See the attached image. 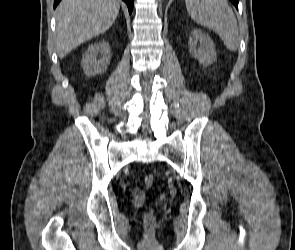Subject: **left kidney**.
Instances as JSON below:
<instances>
[{
	"label": "left kidney",
	"instance_id": "5707ae66",
	"mask_svg": "<svg viewBox=\"0 0 295 250\" xmlns=\"http://www.w3.org/2000/svg\"><path fill=\"white\" fill-rule=\"evenodd\" d=\"M198 42L200 44L199 48H197ZM189 51L203 66H208L217 59L215 44L209 36L203 34L202 31L198 29L191 31Z\"/></svg>",
	"mask_w": 295,
	"mask_h": 250
}]
</instances>
